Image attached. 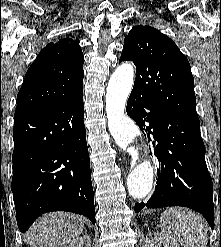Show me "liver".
<instances>
[{
    "label": "liver",
    "mask_w": 221,
    "mask_h": 247,
    "mask_svg": "<svg viewBox=\"0 0 221 247\" xmlns=\"http://www.w3.org/2000/svg\"><path fill=\"white\" fill-rule=\"evenodd\" d=\"M84 223L85 219L75 214L49 213L32 225L25 242L30 247H65L83 232Z\"/></svg>",
    "instance_id": "obj_1"
}]
</instances>
